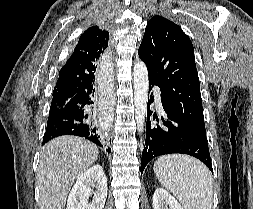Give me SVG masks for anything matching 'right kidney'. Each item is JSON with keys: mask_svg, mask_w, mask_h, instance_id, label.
<instances>
[{"mask_svg": "<svg viewBox=\"0 0 253 209\" xmlns=\"http://www.w3.org/2000/svg\"><path fill=\"white\" fill-rule=\"evenodd\" d=\"M91 186L96 187L92 203ZM107 197V178L100 165L86 170L76 181L67 200V209H103Z\"/></svg>", "mask_w": 253, "mask_h": 209, "instance_id": "ca27d5eb", "label": "right kidney"}]
</instances>
